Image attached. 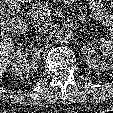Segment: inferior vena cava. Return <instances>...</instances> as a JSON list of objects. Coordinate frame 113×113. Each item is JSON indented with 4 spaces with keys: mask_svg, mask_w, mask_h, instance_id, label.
<instances>
[{
    "mask_svg": "<svg viewBox=\"0 0 113 113\" xmlns=\"http://www.w3.org/2000/svg\"><path fill=\"white\" fill-rule=\"evenodd\" d=\"M50 28H51V24L49 23L40 24L35 27V32L41 34L48 33Z\"/></svg>",
    "mask_w": 113,
    "mask_h": 113,
    "instance_id": "inferior-vena-cava-1",
    "label": "inferior vena cava"
}]
</instances>
